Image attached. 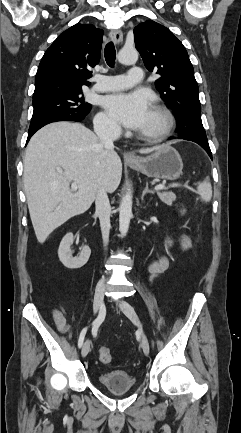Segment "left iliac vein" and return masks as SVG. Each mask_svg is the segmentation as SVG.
Returning <instances> with one entry per match:
<instances>
[{
	"label": "left iliac vein",
	"mask_w": 241,
	"mask_h": 433,
	"mask_svg": "<svg viewBox=\"0 0 241 433\" xmlns=\"http://www.w3.org/2000/svg\"><path fill=\"white\" fill-rule=\"evenodd\" d=\"M119 307L124 312V314L135 324L139 327L140 333H141V347L145 355H149L150 352V345L148 338L146 334L144 333L142 329L141 321L135 312L134 308L125 300H120Z\"/></svg>",
	"instance_id": "1"
}]
</instances>
